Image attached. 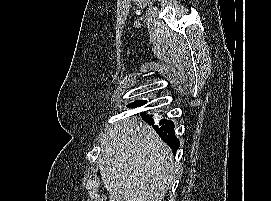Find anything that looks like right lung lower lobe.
<instances>
[{"label": "right lung lower lobe", "instance_id": "right-lung-lower-lobe-1", "mask_svg": "<svg viewBox=\"0 0 271 201\" xmlns=\"http://www.w3.org/2000/svg\"><path fill=\"white\" fill-rule=\"evenodd\" d=\"M146 104L144 100H137L129 105L128 108H137ZM141 117L148 124L152 125L154 130L159 134L161 139L168 144V146L172 149V152L175 154L176 150L179 148L180 142L175 136L174 132V123L171 120H166L165 118L160 120V122H155L153 115L141 113Z\"/></svg>", "mask_w": 271, "mask_h": 201}]
</instances>
